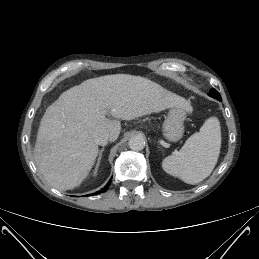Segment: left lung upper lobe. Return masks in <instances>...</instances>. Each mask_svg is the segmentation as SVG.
I'll return each mask as SVG.
<instances>
[{
    "label": "left lung upper lobe",
    "instance_id": "left-lung-upper-lobe-1",
    "mask_svg": "<svg viewBox=\"0 0 259 259\" xmlns=\"http://www.w3.org/2000/svg\"><path fill=\"white\" fill-rule=\"evenodd\" d=\"M209 96H211L219 101L221 100V96L216 89H211V91L209 92Z\"/></svg>",
    "mask_w": 259,
    "mask_h": 259
}]
</instances>
